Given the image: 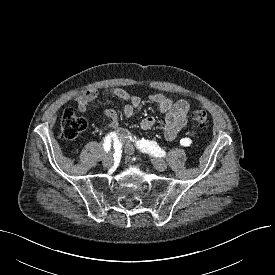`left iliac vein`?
I'll list each match as a JSON object with an SVG mask.
<instances>
[{"instance_id": "obj_1", "label": "left iliac vein", "mask_w": 275, "mask_h": 275, "mask_svg": "<svg viewBox=\"0 0 275 275\" xmlns=\"http://www.w3.org/2000/svg\"><path fill=\"white\" fill-rule=\"evenodd\" d=\"M152 163L158 171H165L167 169V163L162 158H153Z\"/></svg>"}]
</instances>
